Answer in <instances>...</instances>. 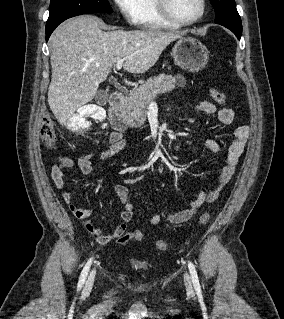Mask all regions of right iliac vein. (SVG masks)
Returning <instances> with one entry per match:
<instances>
[{
  "label": "right iliac vein",
  "mask_w": 284,
  "mask_h": 319,
  "mask_svg": "<svg viewBox=\"0 0 284 319\" xmlns=\"http://www.w3.org/2000/svg\"><path fill=\"white\" fill-rule=\"evenodd\" d=\"M95 270H92L87 281H86V284H85V291H90L92 289V286L94 284V279H95Z\"/></svg>",
  "instance_id": "1"
}]
</instances>
